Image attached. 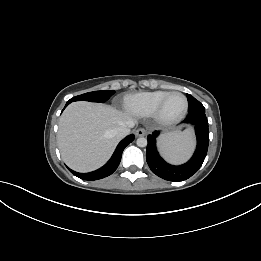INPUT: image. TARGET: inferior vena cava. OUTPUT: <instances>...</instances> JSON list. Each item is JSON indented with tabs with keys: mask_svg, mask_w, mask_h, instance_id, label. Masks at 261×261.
Returning a JSON list of instances; mask_svg holds the SVG:
<instances>
[{
	"mask_svg": "<svg viewBox=\"0 0 261 261\" xmlns=\"http://www.w3.org/2000/svg\"><path fill=\"white\" fill-rule=\"evenodd\" d=\"M134 127L133 122H128L126 125L120 126L115 130V134L119 138H123L130 133V128Z\"/></svg>",
	"mask_w": 261,
	"mask_h": 261,
	"instance_id": "inferior-vena-cava-1",
	"label": "inferior vena cava"
}]
</instances>
